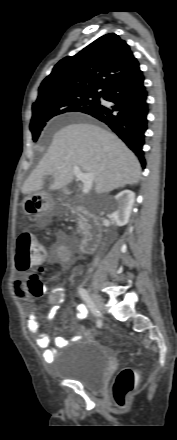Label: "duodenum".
Masks as SVG:
<instances>
[{
    "mask_svg": "<svg viewBox=\"0 0 177 440\" xmlns=\"http://www.w3.org/2000/svg\"><path fill=\"white\" fill-rule=\"evenodd\" d=\"M68 207L84 221L86 235L81 241L80 249L83 253L88 254L94 249L101 238V223L88 209L83 206L68 203Z\"/></svg>",
    "mask_w": 177,
    "mask_h": 440,
    "instance_id": "duodenum-1",
    "label": "duodenum"
}]
</instances>
